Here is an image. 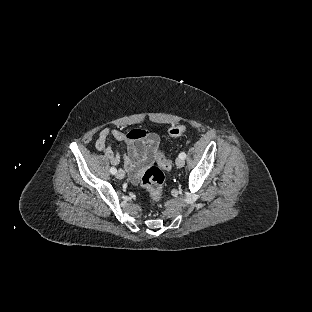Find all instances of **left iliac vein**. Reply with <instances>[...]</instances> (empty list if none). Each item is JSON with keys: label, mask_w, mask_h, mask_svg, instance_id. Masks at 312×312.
I'll use <instances>...</instances> for the list:
<instances>
[{"label": "left iliac vein", "mask_w": 312, "mask_h": 312, "mask_svg": "<svg viewBox=\"0 0 312 312\" xmlns=\"http://www.w3.org/2000/svg\"><path fill=\"white\" fill-rule=\"evenodd\" d=\"M185 164V161L183 159H181L180 157L176 159V165L178 168L183 167Z\"/></svg>", "instance_id": "4c4485c4"}]
</instances>
